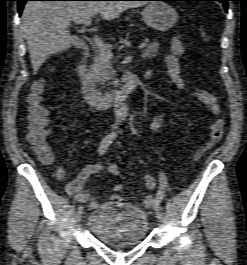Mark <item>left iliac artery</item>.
<instances>
[{
    "label": "left iliac artery",
    "mask_w": 247,
    "mask_h": 265,
    "mask_svg": "<svg viewBox=\"0 0 247 265\" xmlns=\"http://www.w3.org/2000/svg\"><path fill=\"white\" fill-rule=\"evenodd\" d=\"M160 183H161V186H160V189L157 193V196L154 200V209L156 211L158 210H162V207L160 206V203H161V200H162V197H163V194H164V190H165V187H166V184H167V179H166V176L163 172H160Z\"/></svg>",
    "instance_id": "left-iliac-artery-1"
}]
</instances>
